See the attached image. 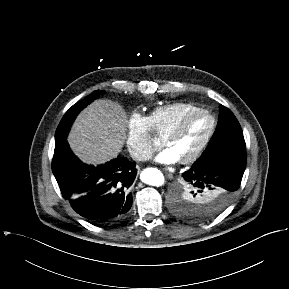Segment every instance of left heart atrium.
<instances>
[{"instance_id":"1","label":"left heart atrium","mask_w":289,"mask_h":289,"mask_svg":"<svg viewBox=\"0 0 289 289\" xmlns=\"http://www.w3.org/2000/svg\"><path fill=\"white\" fill-rule=\"evenodd\" d=\"M155 160L161 164H172L177 162L179 158L171 149L167 147L155 157Z\"/></svg>"}]
</instances>
